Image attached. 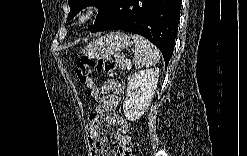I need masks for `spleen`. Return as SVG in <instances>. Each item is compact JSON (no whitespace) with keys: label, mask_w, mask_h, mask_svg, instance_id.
<instances>
[{"label":"spleen","mask_w":247,"mask_h":156,"mask_svg":"<svg viewBox=\"0 0 247 156\" xmlns=\"http://www.w3.org/2000/svg\"><path fill=\"white\" fill-rule=\"evenodd\" d=\"M132 39L135 44L134 64L136 68L149 67L160 60V52L150 41L134 34Z\"/></svg>","instance_id":"obj_1"}]
</instances>
